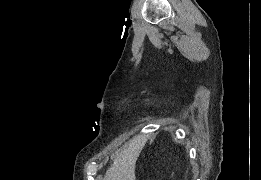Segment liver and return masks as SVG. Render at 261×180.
<instances>
[{
	"mask_svg": "<svg viewBox=\"0 0 261 180\" xmlns=\"http://www.w3.org/2000/svg\"><path fill=\"white\" fill-rule=\"evenodd\" d=\"M142 140L141 136H137L123 150H119L103 180H135V166L142 150Z\"/></svg>",
	"mask_w": 261,
	"mask_h": 180,
	"instance_id": "1",
	"label": "liver"
}]
</instances>
